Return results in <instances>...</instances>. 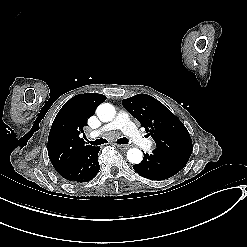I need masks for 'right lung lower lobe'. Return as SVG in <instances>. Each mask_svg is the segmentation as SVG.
<instances>
[{
  "label": "right lung lower lobe",
  "instance_id": "right-lung-lower-lobe-1",
  "mask_svg": "<svg viewBox=\"0 0 247 247\" xmlns=\"http://www.w3.org/2000/svg\"><path fill=\"white\" fill-rule=\"evenodd\" d=\"M100 147L89 146L66 166L56 170L63 178L73 182H87L98 173V152Z\"/></svg>",
  "mask_w": 247,
  "mask_h": 247
}]
</instances>
